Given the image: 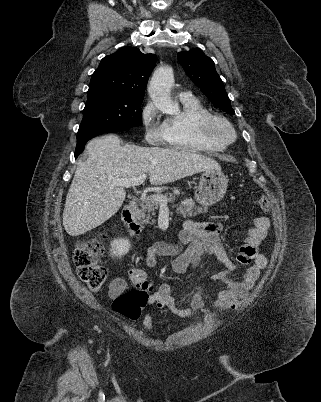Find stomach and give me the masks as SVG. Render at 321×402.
<instances>
[{
    "mask_svg": "<svg viewBox=\"0 0 321 402\" xmlns=\"http://www.w3.org/2000/svg\"><path fill=\"white\" fill-rule=\"evenodd\" d=\"M228 180L221 170H205L200 176L195 198L203 206L219 202L225 195Z\"/></svg>",
    "mask_w": 321,
    "mask_h": 402,
    "instance_id": "0dacf381",
    "label": "stomach"
}]
</instances>
